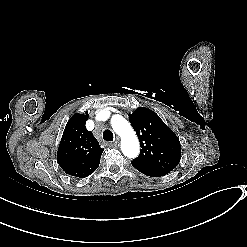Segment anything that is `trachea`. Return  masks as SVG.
Listing matches in <instances>:
<instances>
[{
  "mask_svg": "<svg viewBox=\"0 0 247 247\" xmlns=\"http://www.w3.org/2000/svg\"><path fill=\"white\" fill-rule=\"evenodd\" d=\"M103 139L105 141H113V133L110 130H105L103 132Z\"/></svg>",
  "mask_w": 247,
  "mask_h": 247,
  "instance_id": "obj_1",
  "label": "trachea"
}]
</instances>
